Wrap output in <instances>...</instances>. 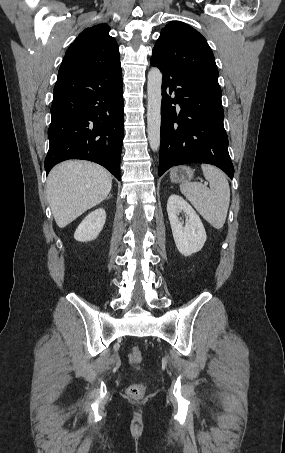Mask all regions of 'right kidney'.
Listing matches in <instances>:
<instances>
[{
  "label": "right kidney",
  "mask_w": 285,
  "mask_h": 453,
  "mask_svg": "<svg viewBox=\"0 0 285 453\" xmlns=\"http://www.w3.org/2000/svg\"><path fill=\"white\" fill-rule=\"evenodd\" d=\"M106 221V212L98 208L88 214L77 227L74 238L80 242H87L97 238Z\"/></svg>",
  "instance_id": "ca27d5eb"
}]
</instances>
